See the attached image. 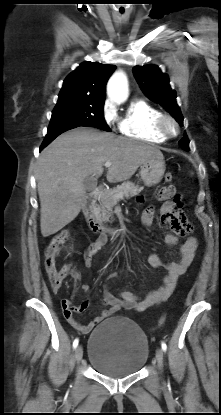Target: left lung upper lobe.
Instances as JSON below:
<instances>
[{
    "mask_svg": "<svg viewBox=\"0 0 221 415\" xmlns=\"http://www.w3.org/2000/svg\"><path fill=\"white\" fill-rule=\"evenodd\" d=\"M133 74L143 91L152 101L162 105L183 126V116L176 102V92L169 85V78L155 65L135 66ZM179 145L186 151L189 150V140L184 134V139Z\"/></svg>",
    "mask_w": 221,
    "mask_h": 415,
    "instance_id": "5c2ea615",
    "label": "left lung upper lobe"
}]
</instances>
